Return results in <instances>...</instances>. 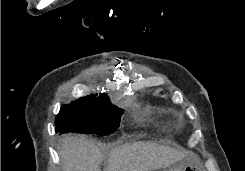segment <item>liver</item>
<instances>
[{"label": "liver", "mask_w": 245, "mask_h": 171, "mask_svg": "<svg viewBox=\"0 0 245 171\" xmlns=\"http://www.w3.org/2000/svg\"><path fill=\"white\" fill-rule=\"evenodd\" d=\"M63 171H100L104 152L83 135H66L59 151ZM187 152L153 142H135L110 150L107 171H153L167 168Z\"/></svg>", "instance_id": "6515ba94"}]
</instances>
